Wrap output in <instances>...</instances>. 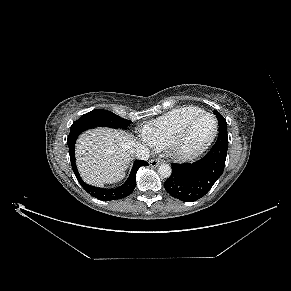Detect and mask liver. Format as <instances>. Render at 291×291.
Listing matches in <instances>:
<instances>
[{"instance_id": "1", "label": "liver", "mask_w": 291, "mask_h": 291, "mask_svg": "<svg viewBox=\"0 0 291 291\" xmlns=\"http://www.w3.org/2000/svg\"><path fill=\"white\" fill-rule=\"evenodd\" d=\"M132 136L123 130L96 128L83 133L76 145L77 166L91 185L103 186L121 180L131 157Z\"/></svg>"}]
</instances>
